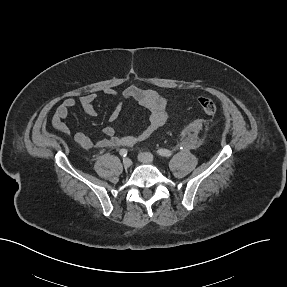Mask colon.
Returning a JSON list of instances; mask_svg holds the SVG:
<instances>
[{
    "label": "colon",
    "mask_w": 287,
    "mask_h": 287,
    "mask_svg": "<svg viewBox=\"0 0 287 287\" xmlns=\"http://www.w3.org/2000/svg\"><path fill=\"white\" fill-rule=\"evenodd\" d=\"M199 106L201 107L202 111L209 116H212L216 113L217 107L215 103L207 97H201L198 99Z\"/></svg>",
    "instance_id": "5ec220e1"
}]
</instances>
